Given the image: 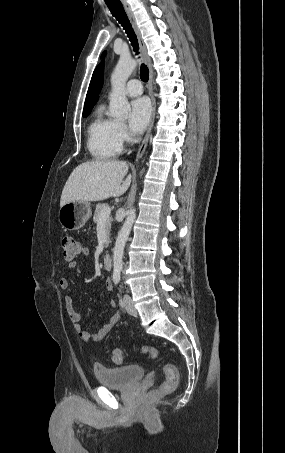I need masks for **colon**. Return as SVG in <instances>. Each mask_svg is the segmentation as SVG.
Returning <instances> with one entry per match:
<instances>
[{
  "instance_id": "obj_1",
  "label": "colon",
  "mask_w": 285,
  "mask_h": 453,
  "mask_svg": "<svg viewBox=\"0 0 285 453\" xmlns=\"http://www.w3.org/2000/svg\"><path fill=\"white\" fill-rule=\"evenodd\" d=\"M62 247L64 258L68 261L73 260L80 253V244L73 237H64L62 239ZM141 352L149 355L151 358L156 360H162V354L158 348L152 345H144L141 347ZM112 359L115 363L120 364L124 360L123 352L115 348L112 351ZM165 373V381L158 387L156 394L159 396L167 395L172 393L178 385L179 373L177 368L171 363H165L163 366Z\"/></svg>"
}]
</instances>
